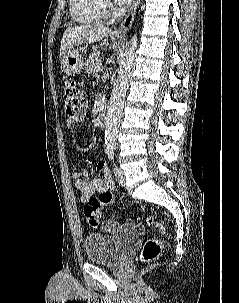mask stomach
<instances>
[{
    "label": "stomach",
    "mask_w": 239,
    "mask_h": 303,
    "mask_svg": "<svg viewBox=\"0 0 239 303\" xmlns=\"http://www.w3.org/2000/svg\"><path fill=\"white\" fill-rule=\"evenodd\" d=\"M83 65L82 55L75 47L66 51L61 57V66L70 75L80 74L83 70Z\"/></svg>",
    "instance_id": "stomach-1"
}]
</instances>
